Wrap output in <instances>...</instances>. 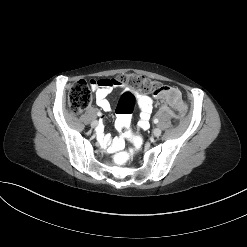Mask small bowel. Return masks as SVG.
<instances>
[{
	"label": "small bowel",
	"mask_w": 247,
	"mask_h": 247,
	"mask_svg": "<svg viewBox=\"0 0 247 247\" xmlns=\"http://www.w3.org/2000/svg\"><path fill=\"white\" fill-rule=\"evenodd\" d=\"M93 89L95 90L97 105L104 111H110L112 107L108 100V95L113 89H125V86L117 79H101L95 81ZM137 102L141 110L138 126L140 129L146 130L150 126L149 120L153 110V100L146 94H139L137 96ZM99 139L104 146H108L111 150H117L122 146V141L120 139L111 141L104 135H100Z\"/></svg>",
	"instance_id": "c3829d8e"
}]
</instances>
